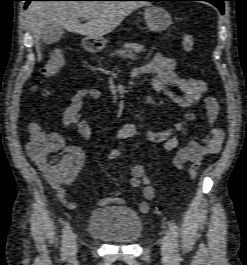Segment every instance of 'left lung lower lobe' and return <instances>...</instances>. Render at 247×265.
<instances>
[{"instance_id": "1", "label": "left lung lower lobe", "mask_w": 247, "mask_h": 265, "mask_svg": "<svg viewBox=\"0 0 247 265\" xmlns=\"http://www.w3.org/2000/svg\"><path fill=\"white\" fill-rule=\"evenodd\" d=\"M146 1H200V0H146ZM202 1H207L214 6H216L220 12L223 14L224 13V5L223 1L225 0H202Z\"/></svg>"}]
</instances>
